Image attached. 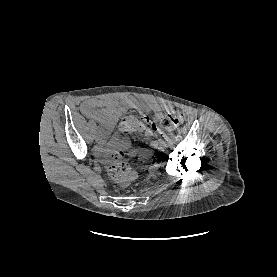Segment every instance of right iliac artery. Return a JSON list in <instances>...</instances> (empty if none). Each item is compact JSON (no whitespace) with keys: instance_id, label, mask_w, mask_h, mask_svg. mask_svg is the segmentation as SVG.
<instances>
[{"instance_id":"obj_1","label":"right iliac artery","mask_w":277,"mask_h":277,"mask_svg":"<svg viewBox=\"0 0 277 277\" xmlns=\"http://www.w3.org/2000/svg\"><path fill=\"white\" fill-rule=\"evenodd\" d=\"M101 135V132L98 130L96 131V136H100Z\"/></svg>"}]
</instances>
